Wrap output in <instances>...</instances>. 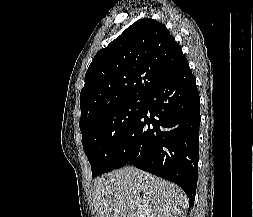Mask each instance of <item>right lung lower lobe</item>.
Wrapping results in <instances>:
<instances>
[{
	"mask_svg": "<svg viewBox=\"0 0 253 217\" xmlns=\"http://www.w3.org/2000/svg\"><path fill=\"white\" fill-rule=\"evenodd\" d=\"M200 98L188 61L153 87L145 108L115 154L111 170L126 164L179 185L195 200ZM150 113V114H149Z\"/></svg>",
	"mask_w": 253,
	"mask_h": 217,
	"instance_id": "right-lung-lower-lobe-1",
	"label": "right lung lower lobe"
}]
</instances>
